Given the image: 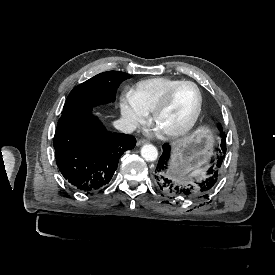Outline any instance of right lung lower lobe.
I'll use <instances>...</instances> for the list:
<instances>
[{
    "mask_svg": "<svg viewBox=\"0 0 275 275\" xmlns=\"http://www.w3.org/2000/svg\"><path fill=\"white\" fill-rule=\"evenodd\" d=\"M135 143L132 135L107 131L89 108L63 110L53 139L61 174L82 192L108 184L119 158Z\"/></svg>",
    "mask_w": 275,
    "mask_h": 275,
    "instance_id": "obj_1",
    "label": "right lung lower lobe"
}]
</instances>
